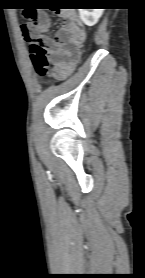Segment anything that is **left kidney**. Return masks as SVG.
<instances>
[{"label": "left kidney", "mask_w": 145, "mask_h": 278, "mask_svg": "<svg viewBox=\"0 0 145 278\" xmlns=\"http://www.w3.org/2000/svg\"><path fill=\"white\" fill-rule=\"evenodd\" d=\"M104 9H79L80 17L87 26L95 25L102 16Z\"/></svg>", "instance_id": "5707ae66"}]
</instances>
